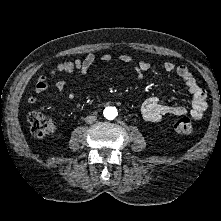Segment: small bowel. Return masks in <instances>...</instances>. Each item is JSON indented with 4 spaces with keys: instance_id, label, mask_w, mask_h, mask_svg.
<instances>
[{
    "instance_id": "small-bowel-1",
    "label": "small bowel",
    "mask_w": 221,
    "mask_h": 221,
    "mask_svg": "<svg viewBox=\"0 0 221 221\" xmlns=\"http://www.w3.org/2000/svg\"><path fill=\"white\" fill-rule=\"evenodd\" d=\"M95 56L88 54L83 59H75L73 61L66 60L60 62L54 69L53 73H77L80 76L87 74L89 69L95 62ZM103 62H112V56L104 54L100 57ZM119 60L122 62L130 63L133 65L135 73L138 78L143 76V73L151 69L152 65L147 61L136 62L132 57L128 55H121ZM162 68L167 73H176L187 86L188 92L192 96L191 107L187 110L182 106H169L159 97L148 98L141 107L143 117L148 121H159L165 115L181 116L189 113V115L195 119H200L207 109V92L198 84L197 80L191 73L190 69L185 65H175L171 61H165L162 64ZM46 77L40 76L35 84V94L30 95L27 98L29 104H34L38 95L42 94L47 89ZM66 87V80L62 79L56 82L55 88L59 94H63ZM69 98L76 100V93H70Z\"/></svg>"
}]
</instances>
